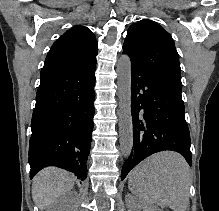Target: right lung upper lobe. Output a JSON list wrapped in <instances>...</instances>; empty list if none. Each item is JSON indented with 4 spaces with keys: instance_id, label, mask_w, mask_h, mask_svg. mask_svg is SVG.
I'll list each match as a JSON object with an SVG mask.
<instances>
[{
    "instance_id": "1",
    "label": "right lung upper lobe",
    "mask_w": 219,
    "mask_h": 211,
    "mask_svg": "<svg viewBox=\"0 0 219 211\" xmlns=\"http://www.w3.org/2000/svg\"><path fill=\"white\" fill-rule=\"evenodd\" d=\"M97 41L86 27L74 26L52 45L44 67L89 65L96 62Z\"/></svg>"
}]
</instances>
